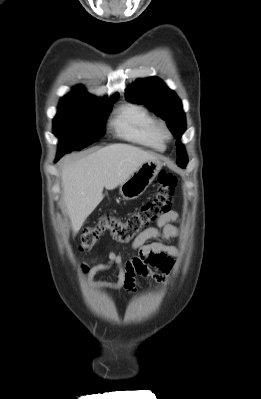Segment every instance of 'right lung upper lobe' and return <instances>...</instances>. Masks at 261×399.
<instances>
[{
  "label": "right lung upper lobe",
  "mask_w": 261,
  "mask_h": 399,
  "mask_svg": "<svg viewBox=\"0 0 261 399\" xmlns=\"http://www.w3.org/2000/svg\"><path fill=\"white\" fill-rule=\"evenodd\" d=\"M73 91L74 93L63 97L62 101H85V100L98 99L97 97L86 94L81 86L73 88ZM118 97L119 95L116 94L112 98H118Z\"/></svg>",
  "instance_id": "cb5924a9"
}]
</instances>
